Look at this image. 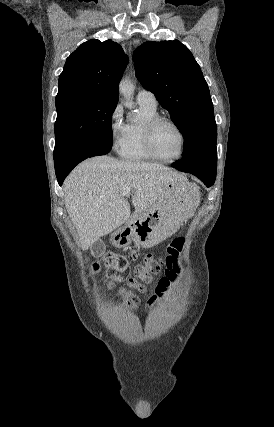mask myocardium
Returning <instances> with one entry per match:
<instances>
[{
    "instance_id": "obj_1",
    "label": "myocardium",
    "mask_w": 274,
    "mask_h": 427,
    "mask_svg": "<svg viewBox=\"0 0 274 427\" xmlns=\"http://www.w3.org/2000/svg\"><path fill=\"white\" fill-rule=\"evenodd\" d=\"M160 124H168V125L172 126L178 132V134L180 136V141H181L180 153H179L178 157L175 159L168 160V159L163 158L162 156H160L158 154V152L156 151V149L154 147V141H153L154 132ZM143 140H144V146H145L146 151L156 161H159L162 163L172 164V163L179 162L185 155V151H186L185 134L182 131V129L180 128V126L175 121L171 120L170 118L157 116V117L151 119L150 121H148L147 124L145 125V128H144Z\"/></svg>"
}]
</instances>
